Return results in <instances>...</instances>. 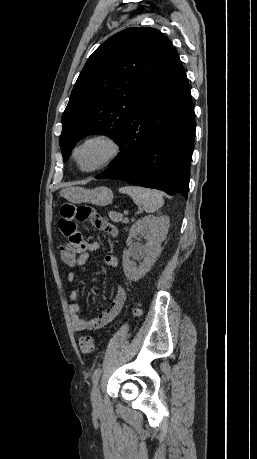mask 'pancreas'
Listing matches in <instances>:
<instances>
[{"instance_id": "pancreas-1", "label": "pancreas", "mask_w": 257, "mask_h": 459, "mask_svg": "<svg viewBox=\"0 0 257 459\" xmlns=\"http://www.w3.org/2000/svg\"><path fill=\"white\" fill-rule=\"evenodd\" d=\"M108 215L113 222H121L123 220V215L121 213L110 211Z\"/></svg>"}]
</instances>
